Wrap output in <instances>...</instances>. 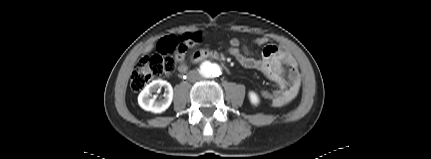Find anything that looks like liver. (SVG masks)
Listing matches in <instances>:
<instances>
[{"label":"liver","mask_w":431,"mask_h":159,"mask_svg":"<svg viewBox=\"0 0 431 159\" xmlns=\"http://www.w3.org/2000/svg\"><path fill=\"white\" fill-rule=\"evenodd\" d=\"M153 44H150L149 46H147L146 48H145V50H144V53H148V52H150L152 49H153Z\"/></svg>","instance_id":"obj_1"}]
</instances>
